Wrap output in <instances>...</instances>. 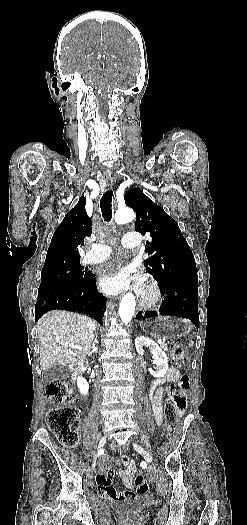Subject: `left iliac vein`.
<instances>
[{"instance_id": "obj_1", "label": "left iliac vein", "mask_w": 247, "mask_h": 525, "mask_svg": "<svg viewBox=\"0 0 247 525\" xmlns=\"http://www.w3.org/2000/svg\"><path fill=\"white\" fill-rule=\"evenodd\" d=\"M146 443H148V441H146ZM132 445L135 448V450L138 451L148 463H153V457L149 453V451H147L145 448H143L141 445L137 444L136 442H132Z\"/></svg>"}]
</instances>
